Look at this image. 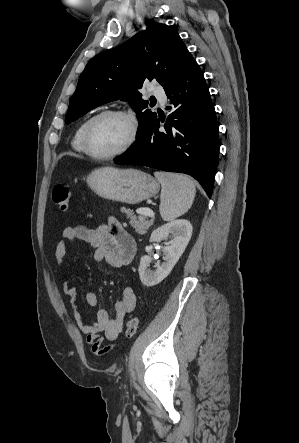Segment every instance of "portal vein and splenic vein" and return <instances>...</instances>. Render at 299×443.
I'll list each match as a JSON object with an SVG mask.
<instances>
[{
	"mask_svg": "<svg viewBox=\"0 0 299 443\" xmlns=\"http://www.w3.org/2000/svg\"><path fill=\"white\" fill-rule=\"evenodd\" d=\"M142 213L154 219V212L152 210H143Z\"/></svg>",
	"mask_w": 299,
	"mask_h": 443,
	"instance_id": "18ae733b",
	"label": "portal vein and splenic vein"
}]
</instances>
